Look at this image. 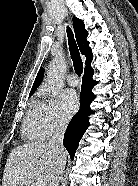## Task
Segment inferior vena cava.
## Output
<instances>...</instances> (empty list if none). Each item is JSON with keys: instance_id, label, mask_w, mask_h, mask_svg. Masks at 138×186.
Here are the masks:
<instances>
[{"instance_id": "1", "label": "inferior vena cava", "mask_w": 138, "mask_h": 186, "mask_svg": "<svg viewBox=\"0 0 138 186\" xmlns=\"http://www.w3.org/2000/svg\"><path fill=\"white\" fill-rule=\"evenodd\" d=\"M67 127V121H60L55 127V132L48 142V145L55 148L58 155L51 167V171L48 175L47 186H58L61 180L66 158L64 156L63 138Z\"/></svg>"}]
</instances>
